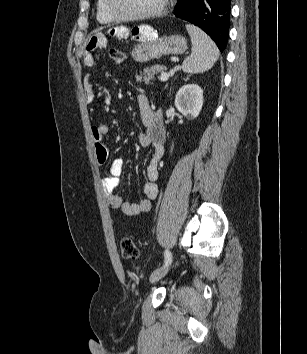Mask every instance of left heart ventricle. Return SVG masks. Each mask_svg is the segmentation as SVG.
<instances>
[{
	"label": "left heart ventricle",
	"instance_id": "1",
	"mask_svg": "<svg viewBox=\"0 0 307 354\" xmlns=\"http://www.w3.org/2000/svg\"><path fill=\"white\" fill-rule=\"evenodd\" d=\"M118 11L124 14H141L158 7L161 0H115Z\"/></svg>",
	"mask_w": 307,
	"mask_h": 354
}]
</instances>
